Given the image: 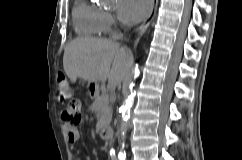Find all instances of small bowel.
<instances>
[{
  "mask_svg": "<svg viewBox=\"0 0 242 160\" xmlns=\"http://www.w3.org/2000/svg\"><path fill=\"white\" fill-rule=\"evenodd\" d=\"M74 105H75V109H76L77 111H79V106H78L76 103H74ZM71 109H73L72 106L67 107V108L63 111L62 116H63V118H64L65 120H68V118H67V112H68L69 110H71ZM66 134H67V137H68V139H69V141H70L71 143H74V142H76V141L78 140L79 134H78L77 130H75V129H74L73 127H71L70 125H67V126H66Z\"/></svg>",
  "mask_w": 242,
  "mask_h": 160,
  "instance_id": "obj_1",
  "label": "small bowel"
}]
</instances>
